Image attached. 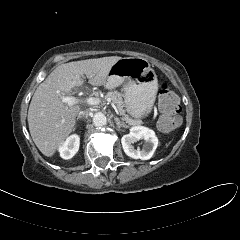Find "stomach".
Segmentation results:
<instances>
[{
    "label": "stomach",
    "instance_id": "0dacf381",
    "mask_svg": "<svg viewBox=\"0 0 240 240\" xmlns=\"http://www.w3.org/2000/svg\"><path fill=\"white\" fill-rule=\"evenodd\" d=\"M105 87L114 89L123 85L126 111L134 118L148 116L158 91L155 71L142 57H127L117 61L110 70Z\"/></svg>",
    "mask_w": 240,
    "mask_h": 240
}]
</instances>
